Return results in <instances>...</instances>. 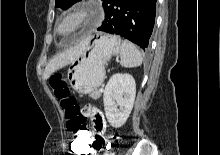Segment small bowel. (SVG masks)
<instances>
[{"label": "small bowel", "mask_w": 220, "mask_h": 155, "mask_svg": "<svg viewBox=\"0 0 220 155\" xmlns=\"http://www.w3.org/2000/svg\"><path fill=\"white\" fill-rule=\"evenodd\" d=\"M83 112H84V119H90L93 123V128H94L93 137H95L96 134L98 133L97 132V125H99V124L102 125L103 126V131H104V129H105V120H104L103 115L101 114V112H99V110L97 109L96 105H84ZM93 141H94V138L92 140L89 155H91L93 153V147H92Z\"/></svg>", "instance_id": "small-bowel-1"}]
</instances>
